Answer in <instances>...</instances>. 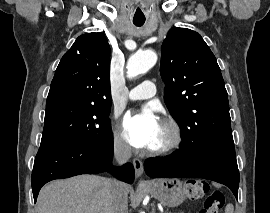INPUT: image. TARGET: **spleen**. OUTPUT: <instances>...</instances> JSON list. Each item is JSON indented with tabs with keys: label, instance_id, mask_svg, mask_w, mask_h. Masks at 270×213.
Returning a JSON list of instances; mask_svg holds the SVG:
<instances>
[{
	"label": "spleen",
	"instance_id": "spleen-1",
	"mask_svg": "<svg viewBox=\"0 0 270 213\" xmlns=\"http://www.w3.org/2000/svg\"><path fill=\"white\" fill-rule=\"evenodd\" d=\"M225 213H233V205L229 204L226 206Z\"/></svg>",
	"mask_w": 270,
	"mask_h": 213
}]
</instances>
